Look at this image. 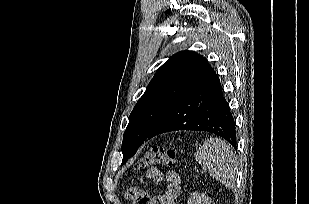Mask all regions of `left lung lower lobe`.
I'll return each instance as SVG.
<instances>
[{"instance_id": "left-lung-lower-lobe-1", "label": "left lung lower lobe", "mask_w": 309, "mask_h": 204, "mask_svg": "<svg viewBox=\"0 0 309 204\" xmlns=\"http://www.w3.org/2000/svg\"><path fill=\"white\" fill-rule=\"evenodd\" d=\"M176 130L211 132L237 149L235 121L216 75L172 105L145 140Z\"/></svg>"}]
</instances>
